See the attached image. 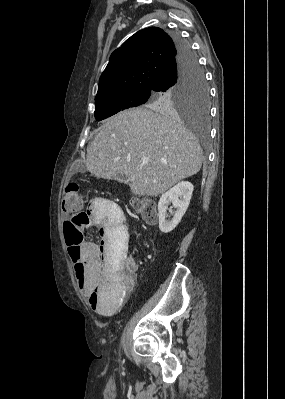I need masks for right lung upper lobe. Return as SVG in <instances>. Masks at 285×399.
<instances>
[{
  "label": "right lung upper lobe",
  "mask_w": 285,
  "mask_h": 399,
  "mask_svg": "<svg viewBox=\"0 0 285 399\" xmlns=\"http://www.w3.org/2000/svg\"><path fill=\"white\" fill-rule=\"evenodd\" d=\"M176 56L174 40L162 29L150 27L136 32L111 54L95 99L131 89H152Z\"/></svg>",
  "instance_id": "cb5924a9"
}]
</instances>
